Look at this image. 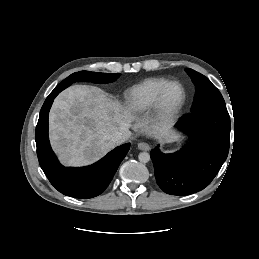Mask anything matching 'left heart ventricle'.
I'll return each instance as SVG.
<instances>
[{
	"label": "left heart ventricle",
	"instance_id": "1",
	"mask_svg": "<svg viewBox=\"0 0 259 259\" xmlns=\"http://www.w3.org/2000/svg\"><path fill=\"white\" fill-rule=\"evenodd\" d=\"M180 95V90L177 86H172L168 89L166 93V100L168 103H173L177 100Z\"/></svg>",
	"mask_w": 259,
	"mask_h": 259
}]
</instances>
